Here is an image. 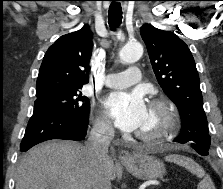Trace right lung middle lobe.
<instances>
[{
  "label": "right lung middle lobe",
  "mask_w": 223,
  "mask_h": 189,
  "mask_svg": "<svg viewBox=\"0 0 223 189\" xmlns=\"http://www.w3.org/2000/svg\"><path fill=\"white\" fill-rule=\"evenodd\" d=\"M81 88L50 89L37 92L35 107L65 111L79 119L87 118L90 110V102L80 92Z\"/></svg>",
  "instance_id": "dd1d6c3e"
}]
</instances>
